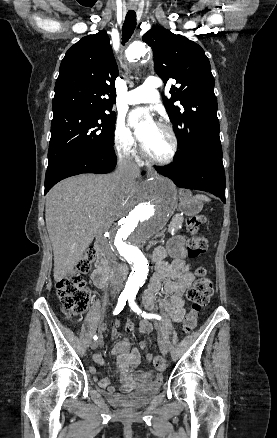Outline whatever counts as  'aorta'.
Here are the masks:
<instances>
[{
	"instance_id": "aorta-1",
	"label": "aorta",
	"mask_w": 277,
	"mask_h": 438,
	"mask_svg": "<svg viewBox=\"0 0 277 438\" xmlns=\"http://www.w3.org/2000/svg\"><path fill=\"white\" fill-rule=\"evenodd\" d=\"M147 52L143 43H133L126 50L130 61ZM175 210L172 182L155 177L138 185L130 194L118 222L109 232L113 250L132 268L125 285V293L135 295L148 275L149 265L142 248L167 223Z\"/></svg>"
}]
</instances>
